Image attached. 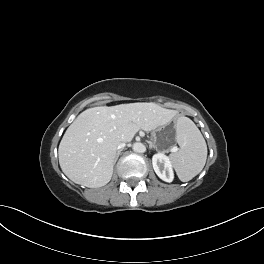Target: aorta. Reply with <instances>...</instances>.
<instances>
[{
  "instance_id": "1",
  "label": "aorta",
  "mask_w": 264,
  "mask_h": 264,
  "mask_svg": "<svg viewBox=\"0 0 264 264\" xmlns=\"http://www.w3.org/2000/svg\"><path fill=\"white\" fill-rule=\"evenodd\" d=\"M145 149V146L140 142H136L132 146V150L136 153H143L145 152Z\"/></svg>"
}]
</instances>
